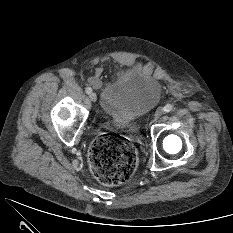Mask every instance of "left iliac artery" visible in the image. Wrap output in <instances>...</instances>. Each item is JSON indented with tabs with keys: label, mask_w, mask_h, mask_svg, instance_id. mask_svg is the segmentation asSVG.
<instances>
[{
	"label": "left iliac artery",
	"mask_w": 233,
	"mask_h": 233,
	"mask_svg": "<svg viewBox=\"0 0 233 233\" xmlns=\"http://www.w3.org/2000/svg\"><path fill=\"white\" fill-rule=\"evenodd\" d=\"M173 110V105L171 104H167L165 107H164V111L165 112H171Z\"/></svg>",
	"instance_id": "44dca946"
}]
</instances>
